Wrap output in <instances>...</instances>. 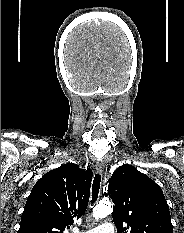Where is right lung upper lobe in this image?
I'll list each match as a JSON object with an SVG mask.
<instances>
[{
  "mask_svg": "<svg viewBox=\"0 0 184 233\" xmlns=\"http://www.w3.org/2000/svg\"><path fill=\"white\" fill-rule=\"evenodd\" d=\"M92 171L67 163L47 172L32 188L18 233H64L88 205Z\"/></svg>",
  "mask_w": 184,
  "mask_h": 233,
  "instance_id": "1",
  "label": "right lung upper lobe"
}]
</instances>
